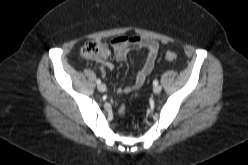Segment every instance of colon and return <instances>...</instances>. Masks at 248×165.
Listing matches in <instances>:
<instances>
[{
  "label": "colon",
  "mask_w": 248,
  "mask_h": 165,
  "mask_svg": "<svg viewBox=\"0 0 248 165\" xmlns=\"http://www.w3.org/2000/svg\"><path fill=\"white\" fill-rule=\"evenodd\" d=\"M109 56V51L107 46L97 40L87 41L81 48L80 57L83 60H97L102 61ZM167 60L173 61L177 58L175 52L169 51L165 54ZM124 108H120V113H124Z\"/></svg>",
  "instance_id": "1"
}]
</instances>
